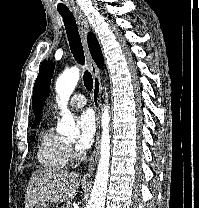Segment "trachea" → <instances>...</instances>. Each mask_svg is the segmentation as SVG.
<instances>
[{"instance_id":"obj_1","label":"trachea","mask_w":199,"mask_h":208,"mask_svg":"<svg viewBox=\"0 0 199 208\" xmlns=\"http://www.w3.org/2000/svg\"><path fill=\"white\" fill-rule=\"evenodd\" d=\"M58 12L63 18L66 34L73 57L78 64L85 65V56L81 43V38L73 14L69 11V9H58ZM83 81L86 89L91 91L93 88V78L88 70H85L84 72Z\"/></svg>"}]
</instances>
